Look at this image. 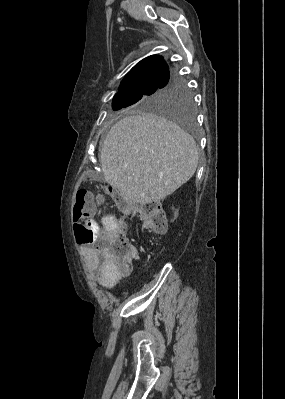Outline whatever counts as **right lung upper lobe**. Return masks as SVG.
<instances>
[{"label":"right lung upper lobe","instance_id":"1","mask_svg":"<svg viewBox=\"0 0 285 399\" xmlns=\"http://www.w3.org/2000/svg\"><path fill=\"white\" fill-rule=\"evenodd\" d=\"M169 71L168 65L158 55L148 56L138 62L124 77L118 93H134L158 88Z\"/></svg>","mask_w":285,"mask_h":399}]
</instances>
